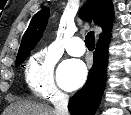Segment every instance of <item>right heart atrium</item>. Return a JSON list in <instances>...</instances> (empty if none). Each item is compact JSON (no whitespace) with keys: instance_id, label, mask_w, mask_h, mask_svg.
<instances>
[{"instance_id":"d8ad5b80","label":"right heart atrium","mask_w":131,"mask_h":115,"mask_svg":"<svg viewBox=\"0 0 131 115\" xmlns=\"http://www.w3.org/2000/svg\"><path fill=\"white\" fill-rule=\"evenodd\" d=\"M55 56L43 48L35 52L26 62L24 79L29 90L46 100L65 99L66 94L57 86L54 78Z\"/></svg>"}]
</instances>
